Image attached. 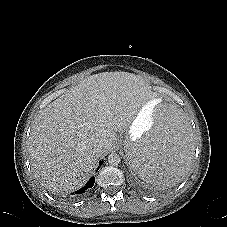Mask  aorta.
<instances>
[{"instance_id":"obj_1","label":"aorta","mask_w":227,"mask_h":227,"mask_svg":"<svg viewBox=\"0 0 227 227\" xmlns=\"http://www.w3.org/2000/svg\"><path fill=\"white\" fill-rule=\"evenodd\" d=\"M121 162V158L117 153H111L108 156V163L113 166H117Z\"/></svg>"}]
</instances>
